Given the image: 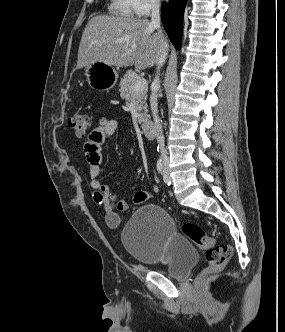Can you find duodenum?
<instances>
[{"label": "duodenum", "mask_w": 285, "mask_h": 332, "mask_svg": "<svg viewBox=\"0 0 285 332\" xmlns=\"http://www.w3.org/2000/svg\"><path fill=\"white\" fill-rule=\"evenodd\" d=\"M142 133L143 135L148 138L152 139L155 136V130H154V125L152 122H145L142 125Z\"/></svg>", "instance_id": "1"}]
</instances>
